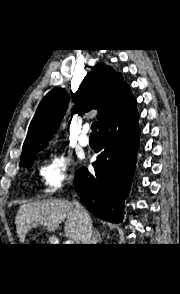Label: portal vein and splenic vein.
Segmentation results:
<instances>
[{
    "label": "portal vein and splenic vein",
    "mask_w": 180,
    "mask_h": 294,
    "mask_svg": "<svg viewBox=\"0 0 180 294\" xmlns=\"http://www.w3.org/2000/svg\"><path fill=\"white\" fill-rule=\"evenodd\" d=\"M66 244H70V245H72V244H74V241L71 240V239H69V240L66 241Z\"/></svg>",
    "instance_id": "1"
}]
</instances>
